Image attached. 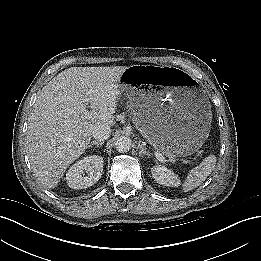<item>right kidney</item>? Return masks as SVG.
Returning <instances> with one entry per match:
<instances>
[{
    "label": "right kidney",
    "mask_w": 261,
    "mask_h": 261,
    "mask_svg": "<svg viewBox=\"0 0 261 261\" xmlns=\"http://www.w3.org/2000/svg\"><path fill=\"white\" fill-rule=\"evenodd\" d=\"M103 158L97 155L86 156L73 164L66 173L70 188L85 189L95 184L103 171Z\"/></svg>",
    "instance_id": "right-kidney-1"
}]
</instances>
